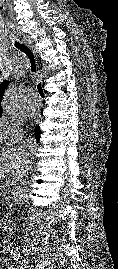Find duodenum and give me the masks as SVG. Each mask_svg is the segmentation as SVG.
<instances>
[{
  "mask_svg": "<svg viewBox=\"0 0 118 269\" xmlns=\"http://www.w3.org/2000/svg\"><path fill=\"white\" fill-rule=\"evenodd\" d=\"M15 227H16V224L11 220H8L3 224V230L5 233H8V234L12 233Z\"/></svg>",
  "mask_w": 118,
  "mask_h": 269,
  "instance_id": "410a0bca",
  "label": "duodenum"
}]
</instances>
